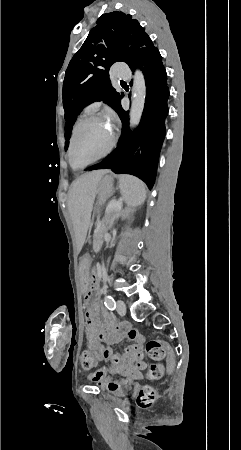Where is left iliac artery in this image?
<instances>
[{
	"label": "left iliac artery",
	"instance_id": "1",
	"mask_svg": "<svg viewBox=\"0 0 241 450\" xmlns=\"http://www.w3.org/2000/svg\"><path fill=\"white\" fill-rule=\"evenodd\" d=\"M104 304L109 310H114L116 308V302L114 298L110 295L105 296Z\"/></svg>",
	"mask_w": 241,
	"mask_h": 450
}]
</instances>
